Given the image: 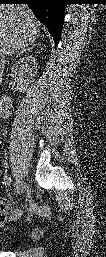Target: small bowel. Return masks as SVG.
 Wrapping results in <instances>:
<instances>
[{
    "instance_id": "c3829d8e",
    "label": "small bowel",
    "mask_w": 106,
    "mask_h": 257,
    "mask_svg": "<svg viewBox=\"0 0 106 257\" xmlns=\"http://www.w3.org/2000/svg\"><path fill=\"white\" fill-rule=\"evenodd\" d=\"M28 210L30 212L33 211V207L29 206ZM22 214V210L20 209H12L10 204L5 201L1 200L0 204V224L3 225L6 221H10L19 217Z\"/></svg>"
}]
</instances>
